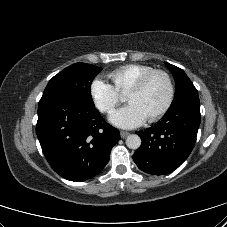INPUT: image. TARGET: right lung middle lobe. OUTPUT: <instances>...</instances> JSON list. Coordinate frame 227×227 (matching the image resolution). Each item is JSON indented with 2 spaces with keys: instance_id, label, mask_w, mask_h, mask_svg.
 Masks as SVG:
<instances>
[{
  "instance_id": "obj_1",
  "label": "right lung middle lobe",
  "mask_w": 227,
  "mask_h": 227,
  "mask_svg": "<svg viewBox=\"0 0 227 227\" xmlns=\"http://www.w3.org/2000/svg\"><path fill=\"white\" fill-rule=\"evenodd\" d=\"M102 70L87 63H75L55 75L46 86L42 98L65 93L76 96L82 102L94 105L91 97V83Z\"/></svg>"
}]
</instances>
